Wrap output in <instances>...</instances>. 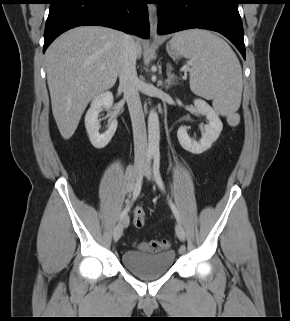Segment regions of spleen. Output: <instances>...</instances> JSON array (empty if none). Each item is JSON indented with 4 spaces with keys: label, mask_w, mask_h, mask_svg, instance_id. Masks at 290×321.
<instances>
[{
    "label": "spleen",
    "mask_w": 290,
    "mask_h": 321,
    "mask_svg": "<svg viewBox=\"0 0 290 321\" xmlns=\"http://www.w3.org/2000/svg\"><path fill=\"white\" fill-rule=\"evenodd\" d=\"M171 42L190 59L191 91L207 100L221 115L238 110L241 103L242 70L231 47L217 35L199 29L176 33Z\"/></svg>",
    "instance_id": "obj_1"
}]
</instances>
